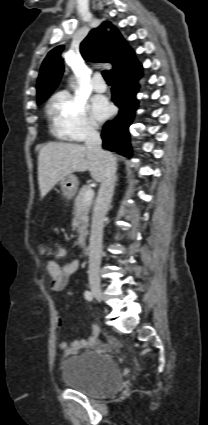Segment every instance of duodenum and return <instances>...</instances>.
<instances>
[{
	"label": "duodenum",
	"mask_w": 208,
	"mask_h": 425,
	"mask_svg": "<svg viewBox=\"0 0 208 425\" xmlns=\"http://www.w3.org/2000/svg\"><path fill=\"white\" fill-rule=\"evenodd\" d=\"M82 253L84 255H89L90 254V248L87 245H82Z\"/></svg>",
	"instance_id": "1"
}]
</instances>
